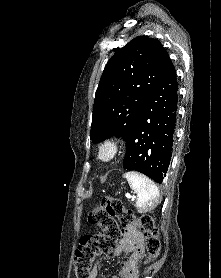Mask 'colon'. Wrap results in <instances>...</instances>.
Returning a JSON list of instances; mask_svg holds the SVG:
<instances>
[{
    "instance_id": "5ec220e1",
    "label": "colon",
    "mask_w": 221,
    "mask_h": 278,
    "mask_svg": "<svg viewBox=\"0 0 221 278\" xmlns=\"http://www.w3.org/2000/svg\"><path fill=\"white\" fill-rule=\"evenodd\" d=\"M122 226H133L144 235V252L149 260L159 252L158 229L151 216L135 217L133 212L113 197L106 196L90 212L88 221L100 228L98 235L82 237L75 252L74 271L76 278H90L92 265L96 256L110 253L120 238L118 222Z\"/></svg>"
}]
</instances>
